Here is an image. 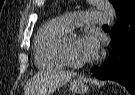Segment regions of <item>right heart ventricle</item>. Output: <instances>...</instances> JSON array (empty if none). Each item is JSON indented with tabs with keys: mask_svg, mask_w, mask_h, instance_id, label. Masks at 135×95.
Wrapping results in <instances>:
<instances>
[{
	"mask_svg": "<svg viewBox=\"0 0 135 95\" xmlns=\"http://www.w3.org/2000/svg\"><path fill=\"white\" fill-rule=\"evenodd\" d=\"M70 30L60 18L45 22L34 41V57L41 69H58L65 64L60 57V46Z\"/></svg>",
	"mask_w": 135,
	"mask_h": 95,
	"instance_id": "1",
	"label": "right heart ventricle"
}]
</instances>
